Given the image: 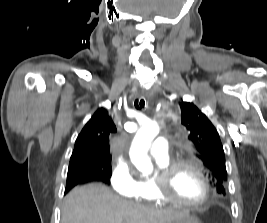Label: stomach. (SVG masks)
<instances>
[{"label": "stomach", "mask_w": 267, "mask_h": 223, "mask_svg": "<svg viewBox=\"0 0 267 223\" xmlns=\"http://www.w3.org/2000/svg\"><path fill=\"white\" fill-rule=\"evenodd\" d=\"M170 223H200V222L196 217L190 216L188 213L186 216L173 220Z\"/></svg>", "instance_id": "stomach-1"}]
</instances>
